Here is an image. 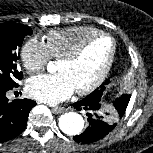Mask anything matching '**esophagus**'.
Returning a JSON list of instances; mask_svg holds the SVG:
<instances>
[{"label": "esophagus", "mask_w": 153, "mask_h": 153, "mask_svg": "<svg viewBox=\"0 0 153 153\" xmlns=\"http://www.w3.org/2000/svg\"><path fill=\"white\" fill-rule=\"evenodd\" d=\"M66 109L64 107H55L52 108V112L57 113V114H61L65 111Z\"/></svg>", "instance_id": "34e87169"}]
</instances>
